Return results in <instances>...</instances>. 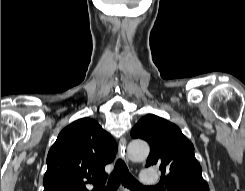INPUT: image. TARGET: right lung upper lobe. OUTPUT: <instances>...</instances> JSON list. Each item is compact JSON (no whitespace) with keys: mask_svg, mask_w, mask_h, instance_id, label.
Segmentation results:
<instances>
[{"mask_svg":"<svg viewBox=\"0 0 245 191\" xmlns=\"http://www.w3.org/2000/svg\"><path fill=\"white\" fill-rule=\"evenodd\" d=\"M117 153L113 137L93 119H79L64 128L47 156L44 191H103L105 165Z\"/></svg>","mask_w":245,"mask_h":191,"instance_id":"1","label":"right lung upper lobe"}]
</instances>
